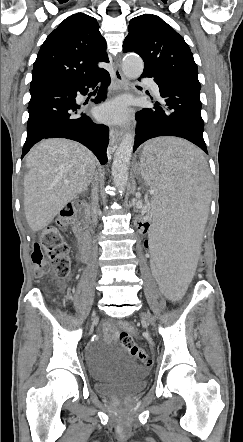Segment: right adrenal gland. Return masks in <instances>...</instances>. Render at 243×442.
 <instances>
[{"instance_id": "1", "label": "right adrenal gland", "mask_w": 243, "mask_h": 442, "mask_svg": "<svg viewBox=\"0 0 243 442\" xmlns=\"http://www.w3.org/2000/svg\"><path fill=\"white\" fill-rule=\"evenodd\" d=\"M96 177H97V179H96V180L98 181V173H96Z\"/></svg>"}]
</instances>
